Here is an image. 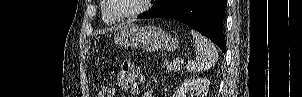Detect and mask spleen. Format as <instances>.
<instances>
[{
	"mask_svg": "<svg viewBox=\"0 0 302 97\" xmlns=\"http://www.w3.org/2000/svg\"><path fill=\"white\" fill-rule=\"evenodd\" d=\"M191 35L195 41L196 58L188 62L186 69L191 73L209 70L218 60L216 46L195 30H191Z\"/></svg>",
	"mask_w": 302,
	"mask_h": 97,
	"instance_id": "spleen-1",
	"label": "spleen"
}]
</instances>
